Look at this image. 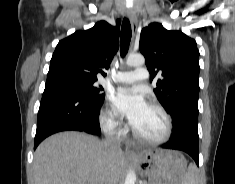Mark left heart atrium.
I'll return each instance as SVG.
<instances>
[{
  "instance_id": "obj_1",
  "label": "left heart atrium",
  "mask_w": 235,
  "mask_h": 184,
  "mask_svg": "<svg viewBox=\"0 0 235 184\" xmlns=\"http://www.w3.org/2000/svg\"><path fill=\"white\" fill-rule=\"evenodd\" d=\"M109 99L114 113L125 117L133 128L149 107L143 92L138 89L119 88Z\"/></svg>"
}]
</instances>
